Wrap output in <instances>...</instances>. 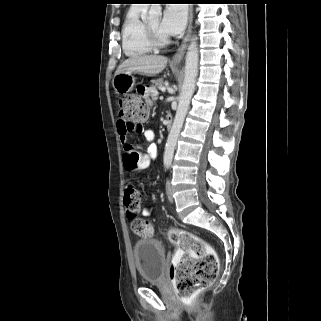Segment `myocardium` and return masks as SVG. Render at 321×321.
I'll use <instances>...</instances> for the list:
<instances>
[{"label":"myocardium","instance_id":"1","mask_svg":"<svg viewBox=\"0 0 321 321\" xmlns=\"http://www.w3.org/2000/svg\"><path fill=\"white\" fill-rule=\"evenodd\" d=\"M145 35H146L147 41L153 48H163L170 44L169 37L159 36L148 24V22H145Z\"/></svg>","mask_w":321,"mask_h":321}]
</instances>
